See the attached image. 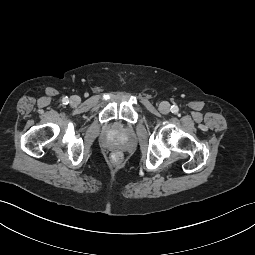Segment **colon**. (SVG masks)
<instances>
[{"instance_id": "obj_1", "label": "colon", "mask_w": 255, "mask_h": 255, "mask_svg": "<svg viewBox=\"0 0 255 255\" xmlns=\"http://www.w3.org/2000/svg\"><path fill=\"white\" fill-rule=\"evenodd\" d=\"M111 159H112V162H113V163H119V162L121 161L122 157H121V154H120V153L114 152V153L112 154Z\"/></svg>"}]
</instances>
